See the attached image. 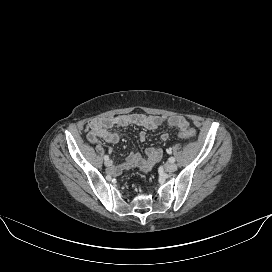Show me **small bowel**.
<instances>
[{"instance_id":"small-bowel-1","label":"small bowel","mask_w":272,"mask_h":272,"mask_svg":"<svg viewBox=\"0 0 272 272\" xmlns=\"http://www.w3.org/2000/svg\"><path fill=\"white\" fill-rule=\"evenodd\" d=\"M162 124L178 127L181 130L189 128L188 121L179 115L154 116L144 114H122L112 117L92 119L88 123L87 138L92 143H97L101 138L108 143L114 144L120 140V134L109 130L113 126L126 127L129 125H139L149 130H155ZM139 137L141 141H144L146 135L144 132H141ZM167 139V133H162L160 135L161 141H166ZM146 154L147 157L143 158L138 153H130L126 162L123 165L115 166L112 172L114 174H118L122 170L129 168H139L142 171H148L161 160L162 149L157 147H150L146 150Z\"/></svg>"}]
</instances>
